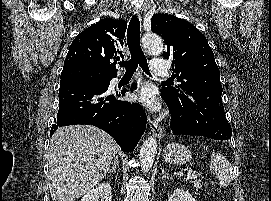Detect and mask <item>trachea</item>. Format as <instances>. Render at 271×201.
<instances>
[{
	"mask_svg": "<svg viewBox=\"0 0 271 201\" xmlns=\"http://www.w3.org/2000/svg\"><path fill=\"white\" fill-rule=\"evenodd\" d=\"M140 33V21L134 15L129 22L127 30V43L131 58L128 61L120 62L119 65L126 69V74H133L139 65L146 74L151 75L147 59L140 46Z\"/></svg>",
	"mask_w": 271,
	"mask_h": 201,
	"instance_id": "obj_1",
	"label": "trachea"
}]
</instances>
